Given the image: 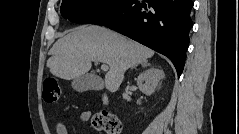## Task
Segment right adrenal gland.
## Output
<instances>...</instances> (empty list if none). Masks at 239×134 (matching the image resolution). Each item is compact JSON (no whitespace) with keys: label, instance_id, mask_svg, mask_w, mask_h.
<instances>
[{"label":"right adrenal gland","instance_id":"1","mask_svg":"<svg viewBox=\"0 0 239 134\" xmlns=\"http://www.w3.org/2000/svg\"><path fill=\"white\" fill-rule=\"evenodd\" d=\"M147 65H149V64H146V63H142V66H147ZM131 68H133V67H131Z\"/></svg>","mask_w":239,"mask_h":134}]
</instances>
